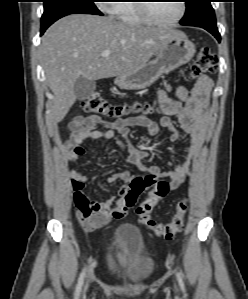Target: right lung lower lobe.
Masks as SVG:
<instances>
[{
    "mask_svg": "<svg viewBox=\"0 0 248 299\" xmlns=\"http://www.w3.org/2000/svg\"><path fill=\"white\" fill-rule=\"evenodd\" d=\"M46 29H47V28H42V29H41V33L43 34L44 31H45Z\"/></svg>",
    "mask_w": 248,
    "mask_h": 299,
    "instance_id": "98d812e1",
    "label": "right lung lower lobe"
}]
</instances>
